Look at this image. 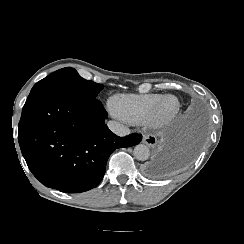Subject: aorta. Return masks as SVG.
<instances>
[{"label": "aorta", "instance_id": "762f6f07", "mask_svg": "<svg viewBox=\"0 0 244 244\" xmlns=\"http://www.w3.org/2000/svg\"><path fill=\"white\" fill-rule=\"evenodd\" d=\"M133 153H134V157L137 160H140V161H145L150 156V150L144 144H138V145H136L135 148H134Z\"/></svg>", "mask_w": 244, "mask_h": 244}]
</instances>
